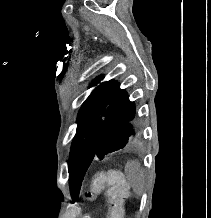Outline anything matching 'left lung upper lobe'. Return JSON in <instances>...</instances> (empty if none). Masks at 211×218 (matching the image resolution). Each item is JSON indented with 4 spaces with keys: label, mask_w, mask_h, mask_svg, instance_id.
I'll return each mask as SVG.
<instances>
[{
    "label": "left lung upper lobe",
    "mask_w": 211,
    "mask_h": 218,
    "mask_svg": "<svg viewBox=\"0 0 211 218\" xmlns=\"http://www.w3.org/2000/svg\"><path fill=\"white\" fill-rule=\"evenodd\" d=\"M103 77L94 80L97 85ZM68 162L70 194L78 198L85 173L94 157L124 148L134 141L138 113L127 92L114 80L97 86L83 103Z\"/></svg>",
    "instance_id": "1"
}]
</instances>
